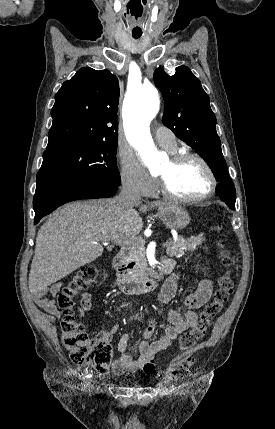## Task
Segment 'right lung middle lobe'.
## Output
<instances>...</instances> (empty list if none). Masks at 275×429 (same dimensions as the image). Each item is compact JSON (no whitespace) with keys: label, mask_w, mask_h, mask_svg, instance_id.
Segmentation results:
<instances>
[{"label":"right lung middle lobe","mask_w":275,"mask_h":429,"mask_svg":"<svg viewBox=\"0 0 275 429\" xmlns=\"http://www.w3.org/2000/svg\"><path fill=\"white\" fill-rule=\"evenodd\" d=\"M118 140L94 144H69L43 153L36 192L78 179H95L120 185L116 162Z\"/></svg>","instance_id":"dd1d6c3e"}]
</instances>
